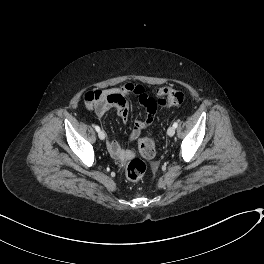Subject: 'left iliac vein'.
<instances>
[{
  "label": "left iliac vein",
  "mask_w": 264,
  "mask_h": 264,
  "mask_svg": "<svg viewBox=\"0 0 264 264\" xmlns=\"http://www.w3.org/2000/svg\"><path fill=\"white\" fill-rule=\"evenodd\" d=\"M175 127H173V126H171V127H169L168 128V130H167V134L169 135V136H173L174 134H175Z\"/></svg>",
  "instance_id": "left-iliac-vein-1"
}]
</instances>
